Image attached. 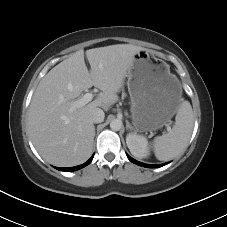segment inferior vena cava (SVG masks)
<instances>
[{
  "mask_svg": "<svg viewBox=\"0 0 227 227\" xmlns=\"http://www.w3.org/2000/svg\"><path fill=\"white\" fill-rule=\"evenodd\" d=\"M105 114L102 109L95 108L91 113V121L93 123H101L103 122Z\"/></svg>",
  "mask_w": 227,
  "mask_h": 227,
  "instance_id": "1",
  "label": "inferior vena cava"
}]
</instances>
